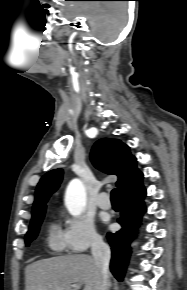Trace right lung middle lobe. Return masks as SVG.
<instances>
[{
    "mask_svg": "<svg viewBox=\"0 0 187 290\" xmlns=\"http://www.w3.org/2000/svg\"><path fill=\"white\" fill-rule=\"evenodd\" d=\"M44 214H41L40 216H38L37 218H35L34 220L31 221V224L29 226V230L25 236V243L27 246L38 235V231H39L40 225L42 223V220L44 218Z\"/></svg>",
    "mask_w": 187,
    "mask_h": 290,
    "instance_id": "dd1d6c3e",
    "label": "right lung middle lobe"
}]
</instances>
